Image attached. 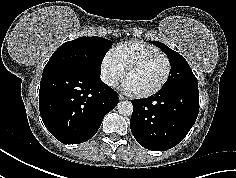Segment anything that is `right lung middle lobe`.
<instances>
[{
    "label": "right lung middle lobe",
    "mask_w": 236,
    "mask_h": 178,
    "mask_svg": "<svg viewBox=\"0 0 236 178\" xmlns=\"http://www.w3.org/2000/svg\"><path fill=\"white\" fill-rule=\"evenodd\" d=\"M111 45V41L97 36L68 41L53 53L43 71L75 69L100 76L102 60Z\"/></svg>",
    "instance_id": "1"
}]
</instances>
